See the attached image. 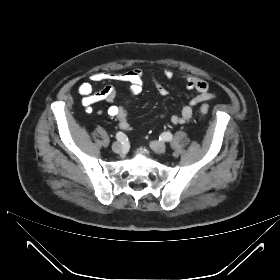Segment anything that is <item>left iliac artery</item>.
Instances as JSON below:
<instances>
[{
  "label": "left iliac artery",
  "mask_w": 280,
  "mask_h": 280,
  "mask_svg": "<svg viewBox=\"0 0 280 280\" xmlns=\"http://www.w3.org/2000/svg\"><path fill=\"white\" fill-rule=\"evenodd\" d=\"M162 139L164 141H171L172 140V134L170 132H165L162 135Z\"/></svg>",
  "instance_id": "obj_1"
}]
</instances>
